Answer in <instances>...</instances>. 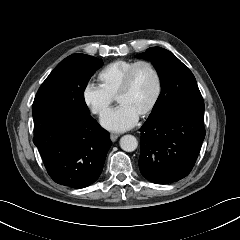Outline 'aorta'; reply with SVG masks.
<instances>
[{
	"label": "aorta",
	"instance_id": "1",
	"mask_svg": "<svg viewBox=\"0 0 240 240\" xmlns=\"http://www.w3.org/2000/svg\"><path fill=\"white\" fill-rule=\"evenodd\" d=\"M138 146V141L133 135H124L120 139V147L126 152L134 151Z\"/></svg>",
	"mask_w": 240,
	"mask_h": 240
}]
</instances>
